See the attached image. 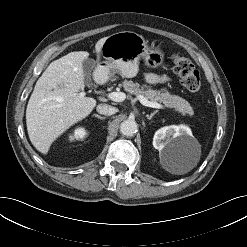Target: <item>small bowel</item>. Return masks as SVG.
Wrapping results in <instances>:
<instances>
[{
  "mask_svg": "<svg viewBox=\"0 0 247 247\" xmlns=\"http://www.w3.org/2000/svg\"><path fill=\"white\" fill-rule=\"evenodd\" d=\"M144 78L148 84H156L158 82H162L165 80V77L159 76L155 73H147V74H145Z\"/></svg>",
  "mask_w": 247,
  "mask_h": 247,
  "instance_id": "obj_1",
  "label": "small bowel"
}]
</instances>
